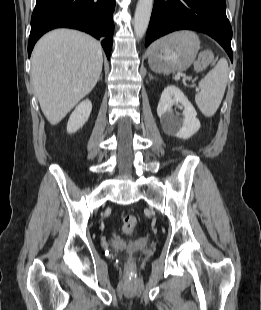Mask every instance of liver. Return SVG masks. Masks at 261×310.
<instances>
[{
    "label": "liver",
    "mask_w": 261,
    "mask_h": 310,
    "mask_svg": "<svg viewBox=\"0 0 261 310\" xmlns=\"http://www.w3.org/2000/svg\"><path fill=\"white\" fill-rule=\"evenodd\" d=\"M102 47L90 35L72 29L45 34L31 56V77L41 110L58 124L97 84Z\"/></svg>",
    "instance_id": "obj_1"
}]
</instances>
